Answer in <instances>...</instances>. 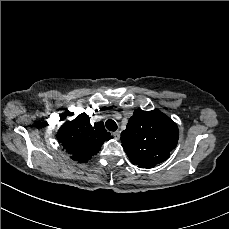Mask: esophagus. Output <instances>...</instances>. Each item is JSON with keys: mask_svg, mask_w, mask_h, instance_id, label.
I'll use <instances>...</instances> for the list:
<instances>
[{"mask_svg": "<svg viewBox=\"0 0 229 229\" xmlns=\"http://www.w3.org/2000/svg\"><path fill=\"white\" fill-rule=\"evenodd\" d=\"M113 135H114V137H115L117 140L120 139V131H115V132L113 133Z\"/></svg>", "mask_w": 229, "mask_h": 229, "instance_id": "esophagus-1", "label": "esophagus"}]
</instances>
